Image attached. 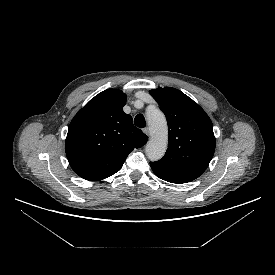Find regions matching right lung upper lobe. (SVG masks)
Instances as JSON below:
<instances>
[{"mask_svg": "<svg viewBox=\"0 0 275 275\" xmlns=\"http://www.w3.org/2000/svg\"><path fill=\"white\" fill-rule=\"evenodd\" d=\"M126 95L107 89L92 98L72 119L65 142L71 168L80 177L99 181L118 172L134 148L148 137L123 112Z\"/></svg>", "mask_w": 275, "mask_h": 275, "instance_id": "1", "label": "right lung upper lobe"}]
</instances>
